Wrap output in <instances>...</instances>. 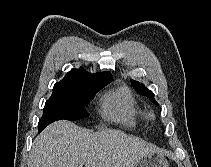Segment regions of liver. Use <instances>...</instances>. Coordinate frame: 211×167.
Instances as JSON below:
<instances>
[{
	"label": "liver",
	"mask_w": 211,
	"mask_h": 167,
	"mask_svg": "<svg viewBox=\"0 0 211 167\" xmlns=\"http://www.w3.org/2000/svg\"><path fill=\"white\" fill-rule=\"evenodd\" d=\"M155 151L152 144L121 131L91 133L58 121L34 140L29 167H133Z\"/></svg>",
	"instance_id": "1"
}]
</instances>
